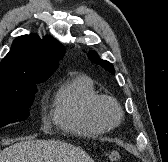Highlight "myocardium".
<instances>
[{
    "mask_svg": "<svg viewBox=\"0 0 168 162\" xmlns=\"http://www.w3.org/2000/svg\"><path fill=\"white\" fill-rule=\"evenodd\" d=\"M109 106L114 110V116L112 117L106 113V108ZM92 111L95 117L107 128L117 126L121 122L123 116L120 103L110 95H98L93 103Z\"/></svg>",
    "mask_w": 168,
    "mask_h": 162,
    "instance_id": "myocardium-1",
    "label": "myocardium"
}]
</instances>
